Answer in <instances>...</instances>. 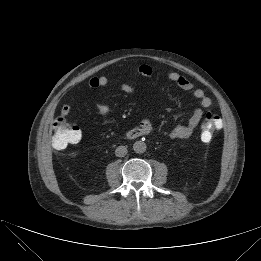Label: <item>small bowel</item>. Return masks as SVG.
<instances>
[{"instance_id":"c3829d8e","label":"small bowel","mask_w":261,"mask_h":261,"mask_svg":"<svg viewBox=\"0 0 261 261\" xmlns=\"http://www.w3.org/2000/svg\"><path fill=\"white\" fill-rule=\"evenodd\" d=\"M138 73L142 76H150L153 72L149 65H140L137 69ZM167 79L175 83L180 89L184 91H191L192 95L199 100L200 107L193 111V114L185 124L177 125L170 132V137L175 140H185L192 136L195 129L198 127L202 116L203 109L211 106V99L206 96L205 92L200 88H194L193 83L185 76L177 72H169L166 75ZM108 84V78L106 76H94L88 80V86L90 88H100ZM120 89L126 94H133L135 89L132 85L128 83H122ZM94 107L98 113L103 116H108L111 112L110 107L101 102H96ZM71 112V106L69 104L63 105L61 108V114L66 117ZM152 130V123L148 118H144L140 124L126 131V137L129 139H134L143 135H147Z\"/></svg>"}]
</instances>
